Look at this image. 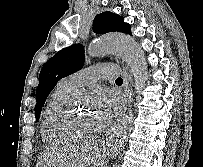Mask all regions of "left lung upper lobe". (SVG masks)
<instances>
[{
  "instance_id": "left-lung-upper-lobe-1",
  "label": "left lung upper lobe",
  "mask_w": 203,
  "mask_h": 167,
  "mask_svg": "<svg viewBox=\"0 0 203 167\" xmlns=\"http://www.w3.org/2000/svg\"><path fill=\"white\" fill-rule=\"evenodd\" d=\"M93 31L96 33L122 32L131 35V27L123 17L112 12H103L94 18ZM84 65V49L74 44L57 52L41 69L36 90L35 117L39 119L42 107L57 82L80 70Z\"/></svg>"
}]
</instances>
